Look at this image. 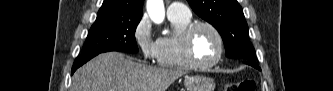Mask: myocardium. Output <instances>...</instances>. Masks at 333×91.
<instances>
[{
	"label": "myocardium",
	"instance_id": "obj_1",
	"mask_svg": "<svg viewBox=\"0 0 333 91\" xmlns=\"http://www.w3.org/2000/svg\"><path fill=\"white\" fill-rule=\"evenodd\" d=\"M200 28H207L211 30L216 36L219 44V51L217 57L208 63H200L196 60L193 52V38ZM182 52L186 63L194 69L206 70L218 65L225 54V41L220 30L212 23L205 21L192 22L181 35Z\"/></svg>",
	"mask_w": 333,
	"mask_h": 91
}]
</instances>
